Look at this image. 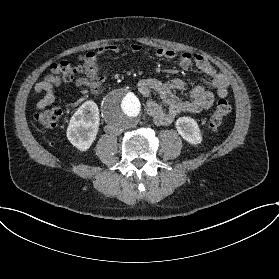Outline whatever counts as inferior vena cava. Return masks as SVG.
Instances as JSON below:
<instances>
[{
	"label": "inferior vena cava",
	"mask_w": 279,
	"mask_h": 279,
	"mask_svg": "<svg viewBox=\"0 0 279 279\" xmlns=\"http://www.w3.org/2000/svg\"><path fill=\"white\" fill-rule=\"evenodd\" d=\"M106 133H108L109 135H113V136H118V135H121L123 130L121 128H118V127H111V126H108L106 128Z\"/></svg>",
	"instance_id": "obj_1"
}]
</instances>
